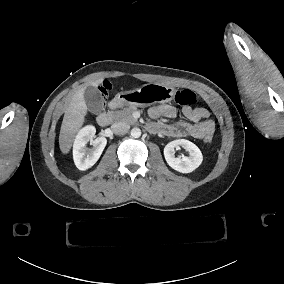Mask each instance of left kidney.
<instances>
[{
    "mask_svg": "<svg viewBox=\"0 0 284 284\" xmlns=\"http://www.w3.org/2000/svg\"><path fill=\"white\" fill-rule=\"evenodd\" d=\"M178 146L183 147L189 157H175V148ZM164 157L172 169L185 174L193 172L203 161L200 149L186 139H177L168 143L164 149Z\"/></svg>",
    "mask_w": 284,
    "mask_h": 284,
    "instance_id": "left-kidney-1",
    "label": "left kidney"
}]
</instances>
